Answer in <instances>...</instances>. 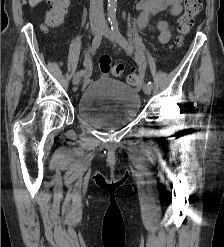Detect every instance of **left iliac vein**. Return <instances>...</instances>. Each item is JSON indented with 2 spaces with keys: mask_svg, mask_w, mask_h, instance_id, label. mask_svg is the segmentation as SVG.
<instances>
[{
  "mask_svg": "<svg viewBox=\"0 0 224 247\" xmlns=\"http://www.w3.org/2000/svg\"><path fill=\"white\" fill-rule=\"evenodd\" d=\"M103 34L106 38H108L112 42H117V38H116L115 34L113 33L112 30H110V28L107 25L103 26ZM143 91L146 95H150L152 88L148 84H144L143 85Z\"/></svg>",
  "mask_w": 224,
  "mask_h": 247,
  "instance_id": "left-iliac-vein-1",
  "label": "left iliac vein"
}]
</instances>
